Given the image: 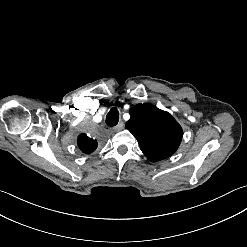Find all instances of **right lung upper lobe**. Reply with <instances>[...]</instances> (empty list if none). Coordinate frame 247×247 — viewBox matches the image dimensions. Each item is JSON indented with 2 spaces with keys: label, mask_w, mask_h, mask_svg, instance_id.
I'll list each match as a JSON object with an SVG mask.
<instances>
[{
  "label": "right lung upper lobe",
  "mask_w": 247,
  "mask_h": 247,
  "mask_svg": "<svg viewBox=\"0 0 247 247\" xmlns=\"http://www.w3.org/2000/svg\"><path fill=\"white\" fill-rule=\"evenodd\" d=\"M78 146L82 152L90 154L97 148L98 143L95 139L83 133L78 136Z\"/></svg>",
  "instance_id": "obj_1"
}]
</instances>
